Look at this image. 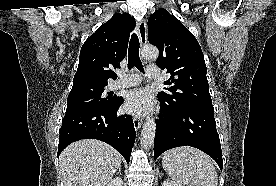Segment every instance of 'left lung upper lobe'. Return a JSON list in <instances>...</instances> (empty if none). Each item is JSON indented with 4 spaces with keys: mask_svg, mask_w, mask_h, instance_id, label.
Masks as SVG:
<instances>
[{
    "mask_svg": "<svg viewBox=\"0 0 276 186\" xmlns=\"http://www.w3.org/2000/svg\"><path fill=\"white\" fill-rule=\"evenodd\" d=\"M149 41L159 50L156 64L170 73L159 93L170 107L182 110L213 107L201 47L194 35L166 9L156 10L148 19Z\"/></svg>",
    "mask_w": 276,
    "mask_h": 186,
    "instance_id": "1",
    "label": "left lung upper lobe"
}]
</instances>
